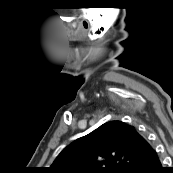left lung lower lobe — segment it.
I'll use <instances>...</instances> for the list:
<instances>
[{
	"mask_svg": "<svg viewBox=\"0 0 173 173\" xmlns=\"http://www.w3.org/2000/svg\"><path fill=\"white\" fill-rule=\"evenodd\" d=\"M134 173H165V168L162 167L159 156L153 147Z\"/></svg>",
	"mask_w": 173,
	"mask_h": 173,
	"instance_id": "0a47b994",
	"label": "left lung lower lobe"
}]
</instances>
